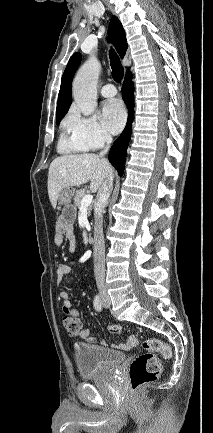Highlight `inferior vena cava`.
Wrapping results in <instances>:
<instances>
[{"label": "inferior vena cava", "instance_id": "602c4592", "mask_svg": "<svg viewBox=\"0 0 213 433\" xmlns=\"http://www.w3.org/2000/svg\"><path fill=\"white\" fill-rule=\"evenodd\" d=\"M107 147L100 152L99 156L103 157L109 150L112 143V137L109 134L105 135ZM113 187V175L110 173L101 187L99 188L97 201L95 203V225H94V273L96 284L100 292H106L105 285V242L103 235V209L111 194Z\"/></svg>", "mask_w": 213, "mask_h": 433}]
</instances>
